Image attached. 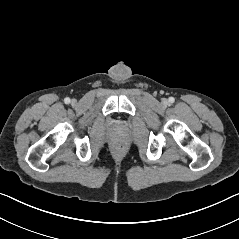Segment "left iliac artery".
Segmentation results:
<instances>
[{
	"label": "left iliac artery",
	"mask_w": 239,
	"mask_h": 239,
	"mask_svg": "<svg viewBox=\"0 0 239 239\" xmlns=\"http://www.w3.org/2000/svg\"><path fill=\"white\" fill-rule=\"evenodd\" d=\"M174 100H175V99H174L173 97H170V98H169V102H170V103H173Z\"/></svg>",
	"instance_id": "obj_1"
}]
</instances>
